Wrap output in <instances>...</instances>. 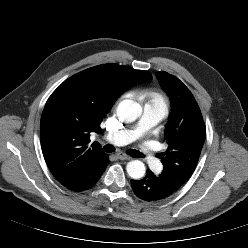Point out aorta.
Returning <instances> with one entry per match:
<instances>
[{
  "instance_id": "aorta-1",
  "label": "aorta",
  "mask_w": 248,
  "mask_h": 248,
  "mask_svg": "<svg viewBox=\"0 0 248 248\" xmlns=\"http://www.w3.org/2000/svg\"><path fill=\"white\" fill-rule=\"evenodd\" d=\"M116 112L120 120L129 123L134 122L141 115V107L135 101L126 99L119 103ZM126 170L128 175L135 180L141 179L146 172L144 163L139 160L128 162Z\"/></svg>"
}]
</instances>
